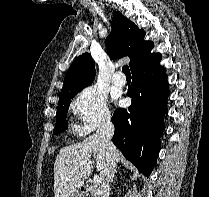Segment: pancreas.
Returning <instances> with one entry per match:
<instances>
[{"instance_id":"cf45deb5","label":"pancreas","mask_w":209,"mask_h":197,"mask_svg":"<svg viewBox=\"0 0 209 197\" xmlns=\"http://www.w3.org/2000/svg\"><path fill=\"white\" fill-rule=\"evenodd\" d=\"M87 191L90 192L93 197H100V187L95 183H92Z\"/></svg>"}]
</instances>
